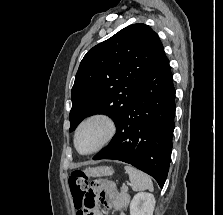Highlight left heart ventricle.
Listing matches in <instances>:
<instances>
[{"label": "left heart ventricle", "instance_id": "1", "mask_svg": "<svg viewBox=\"0 0 223 215\" xmlns=\"http://www.w3.org/2000/svg\"><path fill=\"white\" fill-rule=\"evenodd\" d=\"M104 127L92 123L84 126L77 136V147L82 152H87L96 147L104 136Z\"/></svg>", "mask_w": 223, "mask_h": 215}]
</instances>
